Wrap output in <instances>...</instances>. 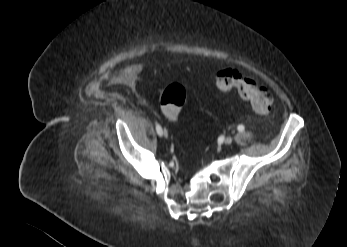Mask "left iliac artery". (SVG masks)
Wrapping results in <instances>:
<instances>
[{
    "instance_id": "44dca946",
    "label": "left iliac artery",
    "mask_w": 347,
    "mask_h": 247,
    "mask_svg": "<svg viewBox=\"0 0 347 247\" xmlns=\"http://www.w3.org/2000/svg\"><path fill=\"white\" fill-rule=\"evenodd\" d=\"M237 129L239 132H243L245 130V127H244V125L240 124V125H238Z\"/></svg>"
}]
</instances>
